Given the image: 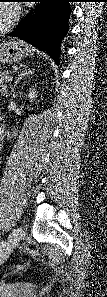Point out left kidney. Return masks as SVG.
I'll return each instance as SVG.
<instances>
[{"instance_id": "left-kidney-1", "label": "left kidney", "mask_w": 107, "mask_h": 297, "mask_svg": "<svg viewBox=\"0 0 107 297\" xmlns=\"http://www.w3.org/2000/svg\"><path fill=\"white\" fill-rule=\"evenodd\" d=\"M37 97V91L35 90L34 87L30 88L29 94H28V98L30 101L35 100V98Z\"/></svg>"}]
</instances>
